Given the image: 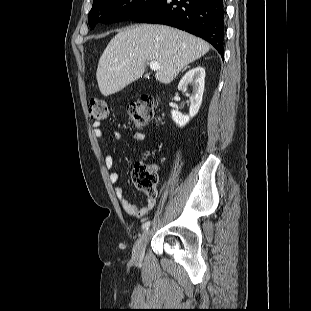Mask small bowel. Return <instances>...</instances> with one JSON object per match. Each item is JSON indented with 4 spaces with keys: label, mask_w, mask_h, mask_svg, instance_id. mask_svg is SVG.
I'll return each instance as SVG.
<instances>
[{
    "label": "small bowel",
    "mask_w": 311,
    "mask_h": 311,
    "mask_svg": "<svg viewBox=\"0 0 311 311\" xmlns=\"http://www.w3.org/2000/svg\"><path fill=\"white\" fill-rule=\"evenodd\" d=\"M92 132L94 136L98 139L103 137V132L101 130V123L95 121L92 124ZM123 137L120 131L114 132V138L116 140H121ZM131 138L136 142H143L146 139V135L143 132L136 131L131 134ZM104 166L109 171L108 177L110 182L116 183L119 179V174L116 170H114V159L111 155H106L104 159ZM115 194L120 202L123 210L130 216L134 218H143L145 217L155 206L156 200L154 197H149L143 206H138L132 202H130L125 194L124 187L121 185H117L115 187Z\"/></svg>",
    "instance_id": "1"
}]
</instances>
